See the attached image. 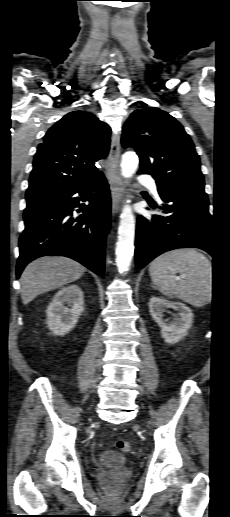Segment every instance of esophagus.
<instances>
[{
	"label": "esophagus",
	"instance_id": "esophagus-1",
	"mask_svg": "<svg viewBox=\"0 0 230 517\" xmlns=\"http://www.w3.org/2000/svg\"><path fill=\"white\" fill-rule=\"evenodd\" d=\"M119 159L120 136L118 133H113L107 167V178L111 189L113 215H116L119 212L125 192V185L120 175Z\"/></svg>",
	"mask_w": 230,
	"mask_h": 517
}]
</instances>
